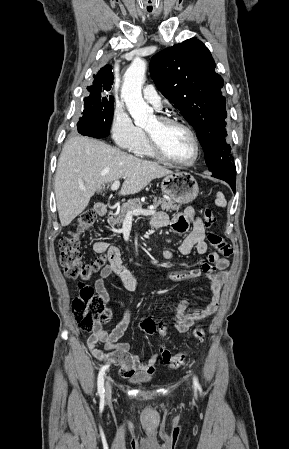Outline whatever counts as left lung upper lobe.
I'll return each instance as SVG.
<instances>
[{
	"label": "left lung upper lobe",
	"mask_w": 289,
	"mask_h": 449,
	"mask_svg": "<svg viewBox=\"0 0 289 449\" xmlns=\"http://www.w3.org/2000/svg\"><path fill=\"white\" fill-rule=\"evenodd\" d=\"M150 74L157 88L194 127L212 176L235 179L231 147L226 143L225 98L222 77L208 48L191 38L154 55Z\"/></svg>",
	"instance_id": "1"
}]
</instances>
